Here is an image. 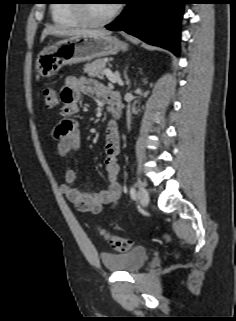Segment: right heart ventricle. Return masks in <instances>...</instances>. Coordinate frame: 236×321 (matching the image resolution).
Returning a JSON list of instances; mask_svg holds the SVG:
<instances>
[{
    "label": "right heart ventricle",
    "instance_id": "e07e8e85",
    "mask_svg": "<svg viewBox=\"0 0 236 321\" xmlns=\"http://www.w3.org/2000/svg\"><path fill=\"white\" fill-rule=\"evenodd\" d=\"M76 0H58L51 7V16L53 22L60 27H74L83 24L82 19L77 15L74 9Z\"/></svg>",
    "mask_w": 236,
    "mask_h": 321
}]
</instances>
